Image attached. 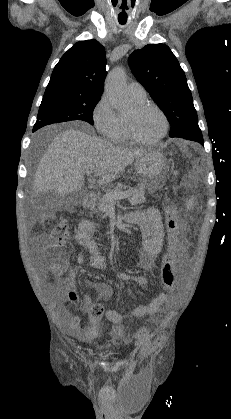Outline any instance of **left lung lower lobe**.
Listing matches in <instances>:
<instances>
[{
	"mask_svg": "<svg viewBox=\"0 0 231 419\" xmlns=\"http://www.w3.org/2000/svg\"><path fill=\"white\" fill-rule=\"evenodd\" d=\"M182 138L187 139V140L196 141V142L200 143L201 145H204L202 134H194V135H190V136H186V137H182Z\"/></svg>",
	"mask_w": 231,
	"mask_h": 419,
	"instance_id": "left-lung-lower-lobe-1",
	"label": "left lung lower lobe"
}]
</instances>
